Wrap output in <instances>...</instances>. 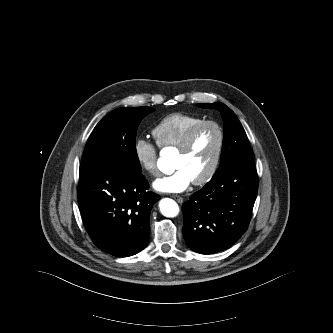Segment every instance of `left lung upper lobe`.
I'll return each instance as SVG.
<instances>
[{
    "instance_id": "left-lung-upper-lobe-1",
    "label": "left lung upper lobe",
    "mask_w": 333,
    "mask_h": 333,
    "mask_svg": "<svg viewBox=\"0 0 333 333\" xmlns=\"http://www.w3.org/2000/svg\"><path fill=\"white\" fill-rule=\"evenodd\" d=\"M197 106L201 108L218 109L224 120L221 164L215 174L221 172L231 164L243 161H253L255 156L250 149L246 132L230 108L220 102L197 104Z\"/></svg>"
}]
</instances>
